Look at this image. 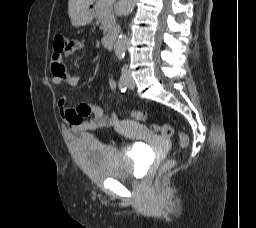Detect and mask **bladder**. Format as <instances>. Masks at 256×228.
<instances>
[{"label": "bladder", "mask_w": 256, "mask_h": 228, "mask_svg": "<svg viewBox=\"0 0 256 228\" xmlns=\"http://www.w3.org/2000/svg\"><path fill=\"white\" fill-rule=\"evenodd\" d=\"M77 149L85 170L99 179L134 178L135 173L143 169L145 154L133 146L128 154H121L91 136H80L77 139Z\"/></svg>", "instance_id": "31cf9c89"}]
</instances>
